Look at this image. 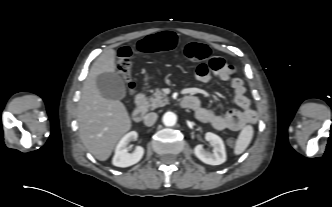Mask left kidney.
<instances>
[{
	"label": "left kidney",
	"mask_w": 332,
	"mask_h": 207,
	"mask_svg": "<svg viewBox=\"0 0 332 207\" xmlns=\"http://www.w3.org/2000/svg\"><path fill=\"white\" fill-rule=\"evenodd\" d=\"M205 139L213 144V153H208L203 149L202 145L194 148L195 156L202 162L209 165H220L226 161V151L223 140L216 134L207 132Z\"/></svg>",
	"instance_id": "5707ae66"
}]
</instances>
